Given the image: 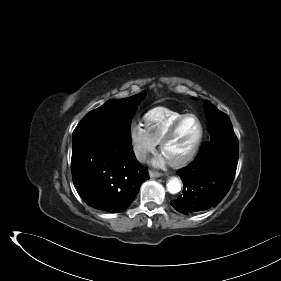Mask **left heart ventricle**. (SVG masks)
Wrapping results in <instances>:
<instances>
[{
	"label": "left heart ventricle",
	"instance_id": "b2bd125f",
	"mask_svg": "<svg viewBox=\"0 0 281 281\" xmlns=\"http://www.w3.org/2000/svg\"><path fill=\"white\" fill-rule=\"evenodd\" d=\"M198 135V121L194 117H188L181 124L175 136L165 146L163 155L168 160H173L182 156L191 149Z\"/></svg>",
	"mask_w": 281,
	"mask_h": 281
}]
</instances>
